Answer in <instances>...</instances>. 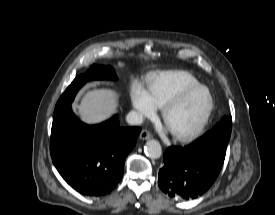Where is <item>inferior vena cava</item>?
<instances>
[{"mask_svg": "<svg viewBox=\"0 0 275 215\" xmlns=\"http://www.w3.org/2000/svg\"><path fill=\"white\" fill-rule=\"evenodd\" d=\"M126 121L131 125H139L143 122V115L136 111H130L126 116Z\"/></svg>", "mask_w": 275, "mask_h": 215, "instance_id": "inferior-vena-cava-1", "label": "inferior vena cava"}]
</instances>
